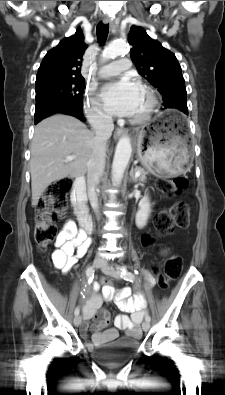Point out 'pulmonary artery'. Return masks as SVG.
<instances>
[{
  "instance_id": "pulmonary-artery-1",
  "label": "pulmonary artery",
  "mask_w": 225,
  "mask_h": 395,
  "mask_svg": "<svg viewBox=\"0 0 225 395\" xmlns=\"http://www.w3.org/2000/svg\"><path fill=\"white\" fill-rule=\"evenodd\" d=\"M130 66H131L130 59L124 57L115 62L103 66L100 70V73L104 77L115 76L129 69Z\"/></svg>"
}]
</instances>
